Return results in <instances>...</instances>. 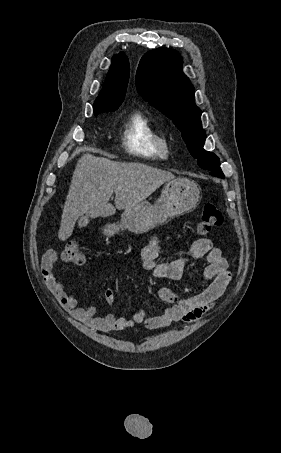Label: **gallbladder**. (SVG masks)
Segmentation results:
<instances>
[{
	"label": "gallbladder",
	"mask_w": 281,
	"mask_h": 453,
	"mask_svg": "<svg viewBox=\"0 0 281 453\" xmlns=\"http://www.w3.org/2000/svg\"><path fill=\"white\" fill-rule=\"evenodd\" d=\"M88 223V218H86V216H83V218H81V220L78 222V227L80 229H85Z\"/></svg>",
	"instance_id": "1"
}]
</instances>
